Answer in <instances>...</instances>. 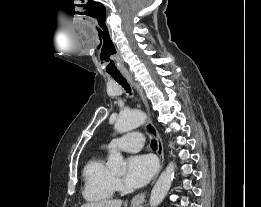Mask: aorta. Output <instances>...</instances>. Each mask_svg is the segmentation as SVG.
Segmentation results:
<instances>
[{
  "mask_svg": "<svg viewBox=\"0 0 261 207\" xmlns=\"http://www.w3.org/2000/svg\"><path fill=\"white\" fill-rule=\"evenodd\" d=\"M146 121V114L142 111L120 113L114 128L119 133L131 131ZM107 165L113 169L125 168V161L120 152H113L108 157ZM174 178V164H169L161 173L150 195V207H157L165 198Z\"/></svg>",
  "mask_w": 261,
  "mask_h": 207,
  "instance_id": "obj_1",
  "label": "aorta"
}]
</instances>
